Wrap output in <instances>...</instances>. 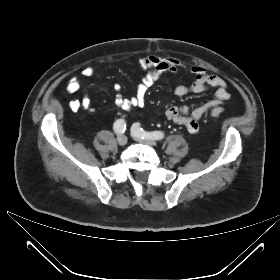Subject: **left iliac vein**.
Wrapping results in <instances>:
<instances>
[{
    "label": "left iliac vein",
    "instance_id": "1",
    "mask_svg": "<svg viewBox=\"0 0 280 280\" xmlns=\"http://www.w3.org/2000/svg\"><path fill=\"white\" fill-rule=\"evenodd\" d=\"M132 137L134 138V140L138 141V142H142L145 144H148L150 146H155L156 145V141H154L153 139H142L140 136H138L136 133L131 132Z\"/></svg>",
    "mask_w": 280,
    "mask_h": 280
}]
</instances>
